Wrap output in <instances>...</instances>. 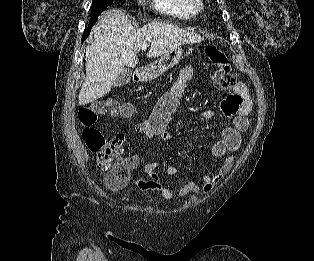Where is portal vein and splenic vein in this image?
<instances>
[{"label":"portal vein and splenic vein","mask_w":314,"mask_h":261,"mask_svg":"<svg viewBox=\"0 0 314 261\" xmlns=\"http://www.w3.org/2000/svg\"><path fill=\"white\" fill-rule=\"evenodd\" d=\"M147 47H148V44H143V46H142V50L147 49Z\"/></svg>","instance_id":"1"}]
</instances>
